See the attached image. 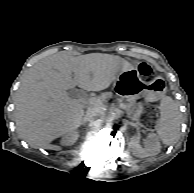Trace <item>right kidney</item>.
I'll return each instance as SVG.
<instances>
[{
	"label": "right kidney",
	"instance_id": "1",
	"mask_svg": "<svg viewBox=\"0 0 194 193\" xmlns=\"http://www.w3.org/2000/svg\"><path fill=\"white\" fill-rule=\"evenodd\" d=\"M79 135L77 132H73V133H69L68 135H66L63 140H62V144L63 145H72L76 142V140L78 139Z\"/></svg>",
	"mask_w": 194,
	"mask_h": 193
}]
</instances>
